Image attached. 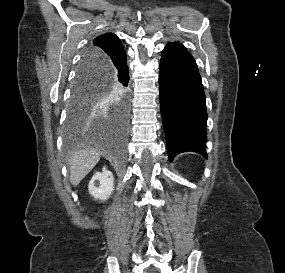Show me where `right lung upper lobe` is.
Returning a JSON list of instances; mask_svg holds the SVG:
<instances>
[{
	"label": "right lung upper lobe",
	"mask_w": 285,
	"mask_h": 273,
	"mask_svg": "<svg viewBox=\"0 0 285 273\" xmlns=\"http://www.w3.org/2000/svg\"><path fill=\"white\" fill-rule=\"evenodd\" d=\"M87 52L95 57L102 56L105 58H111L122 55L125 50L120 39L116 35L105 33L93 40L92 44L88 47ZM82 62H84V64H88L89 60H84L83 57Z\"/></svg>",
	"instance_id": "obj_1"
}]
</instances>
